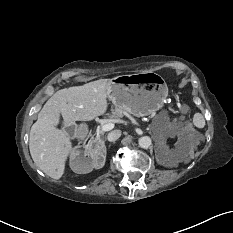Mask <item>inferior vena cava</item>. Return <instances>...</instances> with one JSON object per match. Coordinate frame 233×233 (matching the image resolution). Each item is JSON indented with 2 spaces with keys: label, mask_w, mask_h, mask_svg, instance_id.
Segmentation results:
<instances>
[{
  "label": "inferior vena cava",
  "mask_w": 233,
  "mask_h": 233,
  "mask_svg": "<svg viewBox=\"0 0 233 233\" xmlns=\"http://www.w3.org/2000/svg\"><path fill=\"white\" fill-rule=\"evenodd\" d=\"M121 136V131L120 130H114L110 132L107 136L108 141L114 142L116 141L119 137Z\"/></svg>",
  "instance_id": "inferior-vena-cava-1"
}]
</instances>
